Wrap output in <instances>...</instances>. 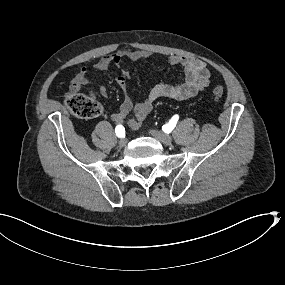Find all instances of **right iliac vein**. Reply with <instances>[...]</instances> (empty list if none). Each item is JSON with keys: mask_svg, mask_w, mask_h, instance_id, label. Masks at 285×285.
<instances>
[{"mask_svg": "<svg viewBox=\"0 0 285 285\" xmlns=\"http://www.w3.org/2000/svg\"><path fill=\"white\" fill-rule=\"evenodd\" d=\"M127 145V139L126 138H122L120 141H119V147L123 148Z\"/></svg>", "mask_w": 285, "mask_h": 285, "instance_id": "1", "label": "right iliac vein"}]
</instances>
